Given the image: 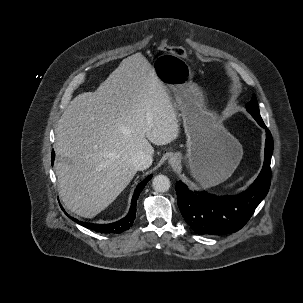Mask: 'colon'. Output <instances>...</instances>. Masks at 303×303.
<instances>
[{
    "label": "colon",
    "instance_id": "colon-1",
    "mask_svg": "<svg viewBox=\"0 0 303 303\" xmlns=\"http://www.w3.org/2000/svg\"><path fill=\"white\" fill-rule=\"evenodd\" d=\"M159 50L163 51V52H169L172 54H175L177 56H181V57H185L186 56V52L178 47V46H171L168 44L167 40L163 39L158 46Z\"/></svg>",
    "mask_w": 303,
    "mask_h": 303
}]
</instances>
